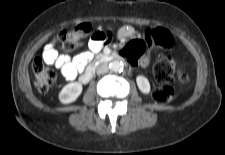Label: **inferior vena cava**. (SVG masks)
Instances as JSON below:
<instances>
[{
  "label": "inferior vena cava",
  "instance_id": "602c4592",
  "mask_svg": "<svg viewBox=\"0 0 225 155\" xmlns=\"http://www.w3.org/2000/svg\"><path fill=\"white\" fill-rule=\"evenodd\" d=\"M109 71V67L107 64L103 63L97 68V74H104Z\"/></svg>",
  "mask_w": 225,
  "mask_h": 155
}]
</instances>
